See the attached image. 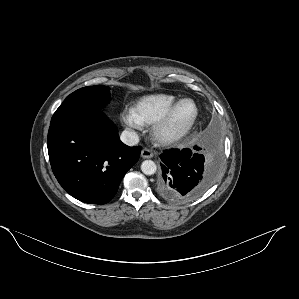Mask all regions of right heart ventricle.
<instances>
[{
    "label": "right heart ventricle",
    "instance_id": "e07e8e85",
    "mask_svg": "<svg viewBox=\"0 0 299 299\" xmlns=\"http://www.w3.org/2000/svg\"><path fill=\"white\" fill-rule=\"evenodd\" d=\"M175 102H177V98L171 94H151L141 97L132 109L143 125H150Z\"/></svg>",
    "mask_w": 299,
    "mask_h": 299
}]
</instances>
